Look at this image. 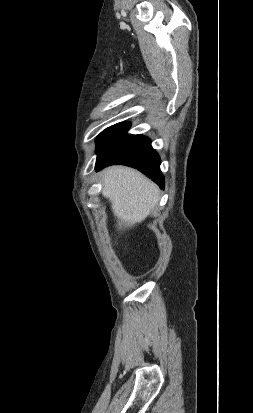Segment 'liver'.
I'll return each mask as SVG.
<instances>
[{"label": "liver", "instance_id": "6515ba94", "mask_svg": "<svg viewBox=\"0 0 253 413\" xmlns=\"http://www.w3.org/2000/svg\"><path fill=\"white\" fill-rule=\"evenodd\" d=\"M102 181V194L111 201L120 230L145 220L159 200L157 185L132 168L108 167Z\"/></svg>", "mask_w": 253, "mask_h": 413}]
</instances>
